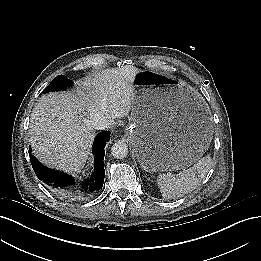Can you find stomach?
Returning a JSON list of instances; mask_svg holds the SVG:
<instances>
[{
	"label": "stomach",
	"instance_id": "stomach-1",
	"mask_svg": "<svg viewBox=\"0 0 261 261\" xmlns=\"http://www.w3.org/2000/svg\"><path fill=\"white\" fill-rule=\"evenodd\" d=\"M132 113L126 134L141 166L173 171L195 163L212 134L193 110L196 94L182 82L150 71L134 80Z\"/></svg>",
	"mask_w": 261,
	"mask_h": 261
}]
</instances>
